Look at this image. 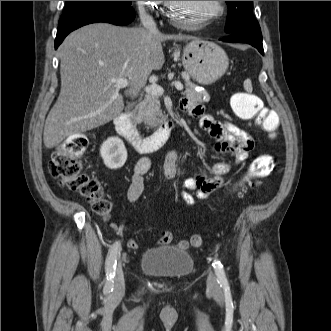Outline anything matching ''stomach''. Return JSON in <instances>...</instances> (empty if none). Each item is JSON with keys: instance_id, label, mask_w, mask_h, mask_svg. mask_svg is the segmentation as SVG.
Returning a JSON list of instances; mask_svg holds the SVG:
<instances>
[{"instance_id": "1", "label": "stomach", "mask_w": 331, "mask_h": 331, "mask_svg": "<svg viewBox=\"0 0 331 331\" xmlns=\"http://www.w3.org/2000/svg\"><path fill=\"white\" fill-rule=\"evenodd\" d=\"M182 63L194 80L209 85L226 72L229 59L225 51L216 43L196 38L184 47Z\"/></svg>"}]
</instances>
